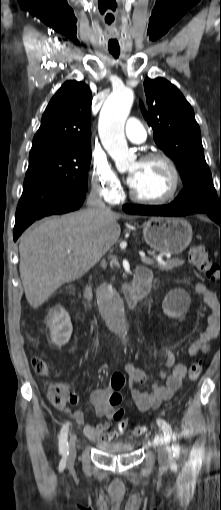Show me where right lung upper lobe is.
Segmentation results:
<instances>
[{
	"label": "right lung upper lobe",
	"instance_id": "1",
	"mask_svg": "<svg viewBox=\"0 0 221 510\" xmlns=\"http://www.w3.org/2000/svg\"><path fill=\"white\" fill-rule=\"evenodd\" d=\"M91 102L85 83L65 82L43 114L29 156L91 145Z\"/></svg>",
	"mask_w": 221,
	"mask_h": 510
}]
</instances>
